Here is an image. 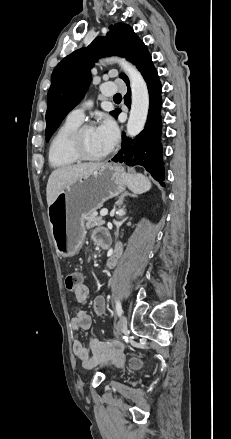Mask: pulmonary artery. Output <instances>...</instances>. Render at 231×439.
<instances>
[{"instance_id":"obj_1","label":"pulmonary artery","mask_w":231,"mask_h":439,"mask_svg":"<svg viewBox=\"0 0 231 439\" xmlns=\"http://www.w3.org/2000/svg\"><path fill=\"white\" fill-rule=\"evenodd\" d=\"M100 90L104 96H111L117 91V85L113 82H108L101 85ZM91 105H92L91 101H87L81 106L74 108L69 112L68 118L81 122L84 118L85 110L91 107Z\"/></svg>"}]
</instances>
